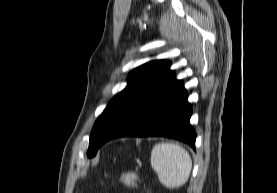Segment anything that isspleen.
Listing matches in <instances>:
<instances>
[{"mask_svg": "<svg viewBox=\"0 0 277 193\" xmlns=\"http://www.w3.org/2000/svg\"><path fill=\"white\" fill-rule=\"evenodd\" d=\"M150 161L161 184L169 189L185 184L192 169L189 153L182 146L173 143L156 144Z\"/></svg>", "mask_w": 277, "mask_h": 193, "instance_id": "1", "label": "spleen"}]
</instances>
